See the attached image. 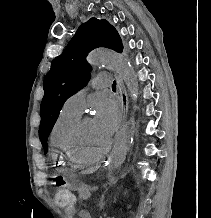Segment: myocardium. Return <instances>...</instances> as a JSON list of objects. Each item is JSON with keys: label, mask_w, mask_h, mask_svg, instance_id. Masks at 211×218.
Returning <instances> with one entry per match:
<instances>
[{"label": "myocardium", "mask_w": 211, "mask_h": 218, "mask_svg": "<svg viewBox=\"0 0 211 218\" xmlns=\"http://www.w3.org/2000/svg\"><path fill=\"white\" fill-rule=\"evenodd\" d=\"M91 119L92 118L90 116L79 118L69 132V136H68V143H69V148H70L69 155L75 162L84 163V162L97 161L103 158L104 156H106L112 149V146H113L112 139L110 140L107 147L95 153L84 152L80 149L79 147L80 131L83 125Z\"/></svg>", "instance_id": "f54148a6"}]
</instances>
